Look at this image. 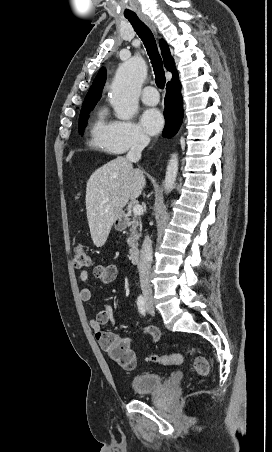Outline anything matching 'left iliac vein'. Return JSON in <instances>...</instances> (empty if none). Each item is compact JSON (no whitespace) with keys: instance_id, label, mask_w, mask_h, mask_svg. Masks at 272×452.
<instances>
[{"instance_id":"left-iliac-vein-1","label":"left iliac vein","mask_w":272,"mask_h":452,"mask_svg":"<svg viewBox=\"0 0 272 452\" xmlns=\"http://www.w3.org/2000/svg\"><path fill=\"white\" fill-rule=\"evenodd\" d=\"M147 310H148V312L151 314V315H154L155 314V312H154V309L152 308V307H147Z\"/></svg>"}]
</instances>
